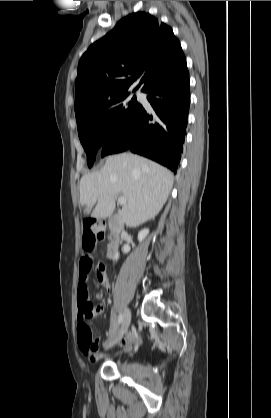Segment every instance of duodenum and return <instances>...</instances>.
<instances>
[{"instance_id":"duodenum-1","label":"duodenum","mask_w":271,"mask_h":418,"mask_svg":"<svg viewBox=\"0 0 271 418\" xmlns=\"http://www.w3.org/2000/svg\"><path fill=\"white\" fill-rule=\"evenodd\" d=\"M122 238V231L118 228H113L110 235V243L108 244V255L112 256L119 245V242Z\"/></svg>"}]
</instances>
